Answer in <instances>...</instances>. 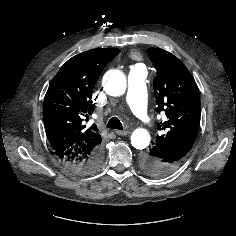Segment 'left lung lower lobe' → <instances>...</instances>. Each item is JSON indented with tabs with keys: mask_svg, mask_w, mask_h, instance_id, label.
<instances>
[{
	"mask_svg": "<svg viewBox=\"0 0 236 236\" xmlns=\"http://www.w3.org/2000/svg\"><path fill=\"white\" fill-rule=\"evenodd\" d=\"M191 148L186 146H153L142 157L144 171L153 177H165L178 169Z\"/></svg>",
	"mask_w": 236,
	"mask_h": 236,
	"instance_id": "obj_1",
	"label": "left lung lower lobe"
}]
</instances>
